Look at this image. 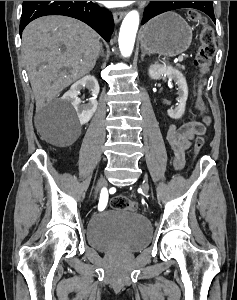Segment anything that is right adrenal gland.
<instances>
[{
    "mask_svg": "<svg viewBox=\"0 0 237 300\" xmlns=\"http://www.w3.org/2000/svg\"><path fill=\"white\" fill-rule=\"evenodd\" d=\"M100 55H102V57H104V53H103V49H102V45H100V53H99L98 57H100Z\"/></svg>",
    "mask_w": 237,
    "mask_h": 300,
    "instance_id": "1",
    "label": "right adrenal gland"
}]
</instances>
